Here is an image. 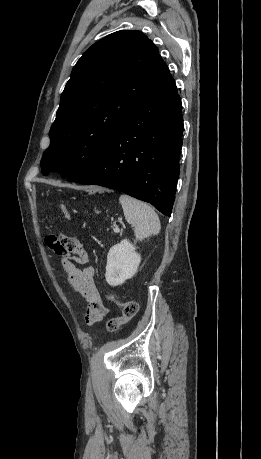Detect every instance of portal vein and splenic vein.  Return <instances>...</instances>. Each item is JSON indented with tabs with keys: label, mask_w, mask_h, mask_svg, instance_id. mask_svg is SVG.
I'll list each match as a JSON object with an SVG mask.
<instances>
[{
	"label": "portal vein and splenic vein",
	"mask_w": 261,
	"mask_h": 459,
	"mask_svg": "<svg viewBox=\"0 0 261 459\" xmlns=\"http://www.w3.org/2000/svg\"><path fill=\"white\" fill-rule=\"evenodd\" d=\"M114 232L115 233H119L120 232V228H118V227L114 228Z\"/></svg>",
	"instance_id": "1"
}]
</instances>
